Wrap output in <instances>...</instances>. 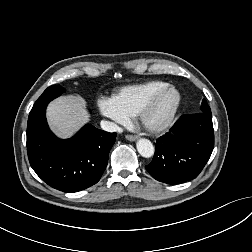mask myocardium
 <instances>
[{
    "label": "myocardium",
    "instance_id": "obj_1",
    "mask_svg": "<svg viewBox=\"0 0 252 252\" xmlns=\"http://www.w3.org/2000/svg\"><path fill=\"white\" fill-rule=\"evenodd\" d=\"M166 92H173L175 94V102L173 108L167 118L160 123H150L148 121V114L154 108L160 97ZM182 94L180 90L171 84H168L157 91H155L148 100L140 107L137 118L141 126L151 133H162L167 131L174 123L176 116L181 108Z\"/></svg>",
    "mask_w": 252,
    "mask_h": 252
}]
</instances>
